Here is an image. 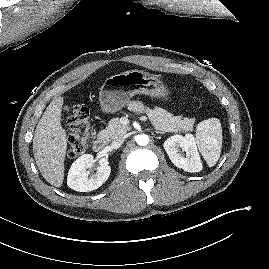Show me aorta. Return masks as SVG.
I'll use <instances>...</instances> for the list:
<instances>
[{"label":"aorta","instance_id":"762f6f07","mask_svg":"<svg viewBox=\"0 0 269 269\" xmlns=\"http://www.w3.org/2000/svg\"><path fill=\"white\" fill-rule=\"evenodd\" d=\"M136 142L140 146H146L149 143V137L146 134H141L136 137Z\"/></svg>","mask_w":269,"mask_h":269}]
</instances>
